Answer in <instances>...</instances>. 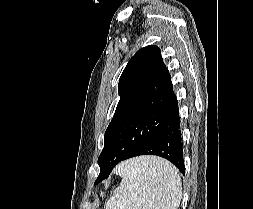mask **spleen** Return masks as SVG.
Listing matches in <instances>:
<instances>
[{"label": "spleen", "mask_w": 253, "mask_h": 209, "mask_svg": "<svg viewBox=\"0 0 253 209\" xmlns=\"http://www.w3.org/2000/svg\"><path fill=\"white\" fill-rule=\"evenodd\" d=\"M122 181L106 209H177L182 198L179 171L167 160L140 156L119 164Z\"/></svg>", "instance_id": "1"}]
</instances>
